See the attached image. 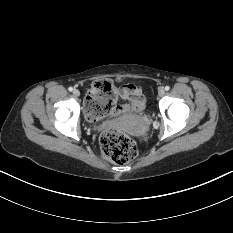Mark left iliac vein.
<instances>
[{"mask_svg":"<svg viewBox=\"0 0 233 233\" xmlns=\"http://www.w3.org/2000/svg\"><path fill=\"white\" fill-rule=\"evenodd\" d=\"M159 96H163L165 94V91L163 88H160L158 91Z\"/></svg>","mask_w":233,"mask_h":233,"instance_id":"1","label":"left iliac vein"}]
</instances>
